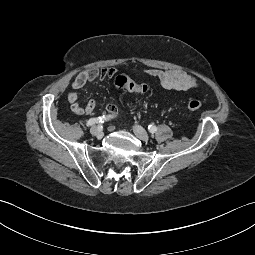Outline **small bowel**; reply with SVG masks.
Wrapping results in <instances>:
<instances>
[{"label": "small bowel", "mask_w": 255, "mask_h": 255, "mask_svg": "<svg viewBox=\"0 0 255 255\" xmlns=\"http://www.w3.org/2000/svg\"><path fill=\"white\" fill-rule=\"evenodd\" d=\"M116 74V69L110 67L97 68L92 67L79 73L72 81V88L79 90L87 87L95 80H106ZM141 75L156 78L164 89L187 91L199 86L198 80L185 72L179 70H161L156 68L144 69ZM71 111L77 115L92 114L96 107V101L89 99L84 106L78 103V94L76 91H70L67 95ZM108 116H114L116 107L114 104L107 106Z\"/></svg>", "instance_id": "1"}]
</instances>
